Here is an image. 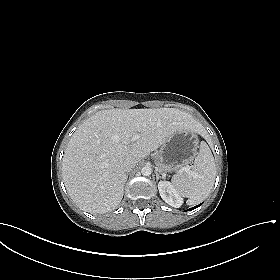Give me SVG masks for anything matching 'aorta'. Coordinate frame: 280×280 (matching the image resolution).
Listing matches in <instances>:
<instances>
[{
  "mask_svg": "<svg viewBox=\"0 0 280 280\" xmlns=\"http://www.w3.org/2000/svg\"><path fill=\"white\" fill-rule=\"evenodd\" d=\"M141 173L144 176H149L152 173V169L149 166H145V167L142 168Z\"/></svg>",
  "mask_w": 280,
  "mask_h": 280,
  "instance_id": "obj_1",
  "label": "aorta"
}]
</instances>
